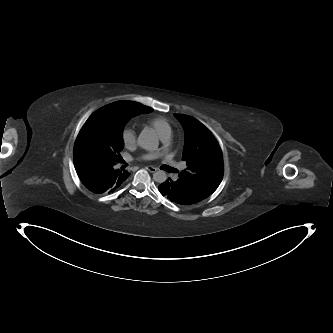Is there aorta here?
Wrapping results in <instances>:
<instances>
[{
    "mask_svg": "<svg viewBox=\"0 0 333 333\" xmlns=\"http://www.w3.org/2000/svg\"><path fill=\"white\" fill-rule=\"evenodd\" d=\"M138 144L143 149L151 151L158 148L159 140L153 131L144 130L138 137ZM153 179L158 183H163L167 179V174L163 170L156 171L153 174Z\"/></svg>",
    "mask_w": 333,
    "mask_h": 333,
    "instance_id": "1",
    "label": "aorta"
}]
</instances>
